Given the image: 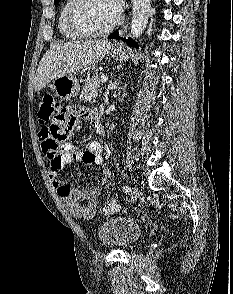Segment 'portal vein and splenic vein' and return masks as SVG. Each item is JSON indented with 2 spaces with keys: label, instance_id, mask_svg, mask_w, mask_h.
<instances>
[{
  "label": "portal vein and splenic vein",
  "instance_id": "obj_1",
  "mask_svg": "<svg viewBox=\"0 0 233 294\" xmlns=\"http://www.w3.org/2000/svg\"><path fill=\"white\" fill-rule=\"evenodd\" d=\"M107 80H108V77H107V76H102V80H101V81H102L103 83H105Z\"/></svg>",
  "mask_w": 233,
  "mask_h": 294
}]
</instances>
